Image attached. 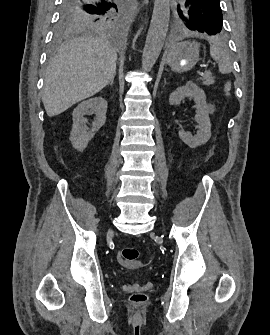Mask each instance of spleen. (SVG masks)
<instances>
[{
    "instance_id": "spleen-1",
    "label": "spleen",
    "mask_w": 270,
    "mask_h": 335,
    "mask_svg": "<svg viewBox=\"0 0 270 335\" xmlns=\"http://www.w3.org/2000/svg\"><path fill=\"white\" fill-rule=\"evenodd\" d=\"M210 56L217 62L221 74H230L233 70L231 58L225 48V44L220 42L218 36L210 38Z\"/></svg>"
}]
</instances>
